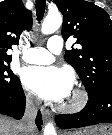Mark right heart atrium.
I'll list each match as a JSON object with an SVG mask.
<instances>
[{"instance_id":"obj_1","label":"right heart atrium","mask_w":112,"mask_h":135,"mask_svg":"<svg viewBox=\"0 0 112 135\" xmlns=\"http://www.w3.org/2000/svg\"><path fill=\"white\" fill-rule=\"evenodd\" d=\"M25 98H26V101L28 104H30V105L36 104V99H35L34 95L31 94L30 92H28V91L25 92Z\"/></svg>"}]
</instances>
